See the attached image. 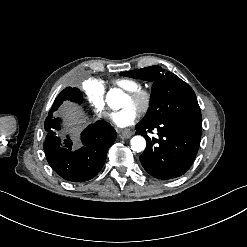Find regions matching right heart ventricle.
Returning a JSON list of instances; mask_svg holds the SVG:
<instances>
[{
    "instance_id": "right-heart-ventricle-1",
    "label": "right heart ventricle",
    "mask_w": 247,
    "mask_h": 247,
    "mask_svg": "<svg viewBox=\"0 0 247 247\" xmlns=\"http://www.w3.org/2000/svg\"><path fill=\"white\" fill-rule=\"evenodd\" d=\"M119 85L128 91H135L139 88V85L131 80H121L119 81Z\"/></svg>"
}]
</instances>
